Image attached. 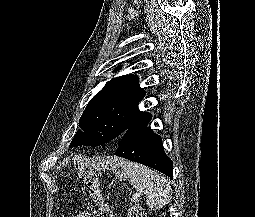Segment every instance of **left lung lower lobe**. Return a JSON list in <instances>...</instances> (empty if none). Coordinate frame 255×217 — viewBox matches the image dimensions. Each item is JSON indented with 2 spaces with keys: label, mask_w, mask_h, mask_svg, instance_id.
Wrapping results in <instances>:
<instances>
[{
  "label": "left lung lower lobe",
  "mask_w": 255,
  "mask_h": 217,
  "mask_svg": "<svg viewBox=\"0 0 255 217\" xmlns=\"http://www.w3.org/2000/svg\"><path fill=\"white\" fill-rule=\"evenodd\" d=\"M151 115L145 112L123 134L115 155L141 163L173 177V163L165 154L162 139L147 127Z\"/></svg>",
  "instance_id": "1"
}]
</instances>
